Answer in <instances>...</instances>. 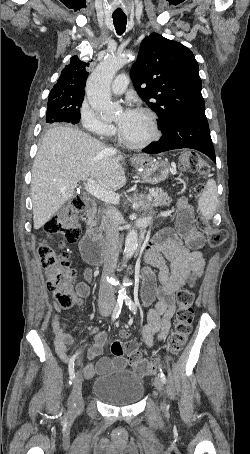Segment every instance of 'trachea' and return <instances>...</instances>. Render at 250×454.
<instances>
[{
  "label": "trachea",
  "instance_id": "trachea-1",
  "mask_svg": "<svg viewBox=\"0 0 250 454\" xmlns=\"http://www.w3.org/2000/svg\"><path fill=\"white\" fill-rule=\"evenodd\" d=\"M113 23L117 34L122 35L126 29L127 17L125 15L113 16Z\"/></svg>",
  "mask_w": 250,
  "mask_h": 454
}]
</instances>
